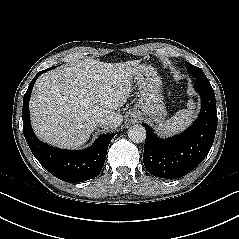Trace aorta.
<instances>
[{"label": "aorta", "instance_id": "762f6f07", "mask_svg": "<svg viewBox=\"0 0 239 239\" xmlns=\"http://www.w3.org/2000/svg\"><path fill=\"white\" fill-rule=\"evenodd\" d=\"M128 138L134 143H142L146 139V130L142 125H133L128 130Z\"/></svg>", "mask_w": 239, "mask_h": 239}]
</instances>
